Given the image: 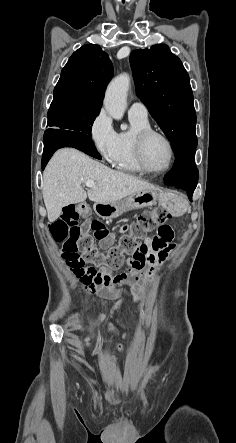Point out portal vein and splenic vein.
Here are the masks:
<instances>
[{
	"label": "portal vein and splenic vein",
	"instance_id": "portal-vein-and-splenic-vein-1",
	"mask_svg": "<svg viewBox=\"0 0 236 443\" xmlns=\"http://www.w3.org/2000/svg\"><path fill=\"white\" fill-rule=\"evenodd\" d=\"M85 186L89 187V188H94L96 185H95V182L93 180H87L85 182Z\"/></svg>",
	"mask_w": 236,
	"mask_h": 443
}]
</instances>
